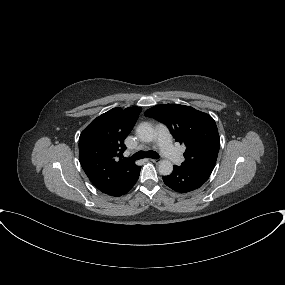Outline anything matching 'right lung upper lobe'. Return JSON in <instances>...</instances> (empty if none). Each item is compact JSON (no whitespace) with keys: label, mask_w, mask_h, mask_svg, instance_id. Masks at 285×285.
Here are the masks:
<instances>
[{"label":"right lung upper lobe","mask_w":285,"mask_h":285,"mask_svg":"<svg viewBox=\"0 0 285 285\" xmlns=\"http://www.w3.org/2000/svg\"><path fill=\"white\" fill-rule=\"evenodd\" d=\"M140 107L113 108L94 119L79 137L81 166L100 191L113 188L131 178L140 166L121 160L124 139L141 112Z\"/></svg>","instance_id":"cb5924a9"}]
</instances>
